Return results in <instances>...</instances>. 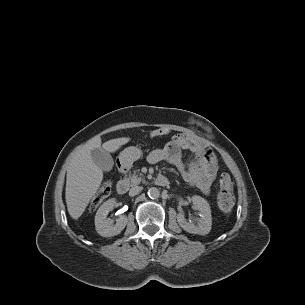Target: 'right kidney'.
<instances>
[{"label":"right kidney","instance_id":"1","mask_svg":"<svg viewBox=\"0 0 305 305\" xmlns=\"http://www.w3.org/2000/svg\"><path fill=\"white\" fill-rule=\"evenodd\" d=\"M115 203V199L107 200L99 207L95 215L96 231L103 237L118 235L127 225L128 219L125 215H120L119 218L116 219L115 224H113L111 219L107 218L108 213L113 210Z\"/></svg>","mask_w":305,"mask_h":305}]
</instances>
